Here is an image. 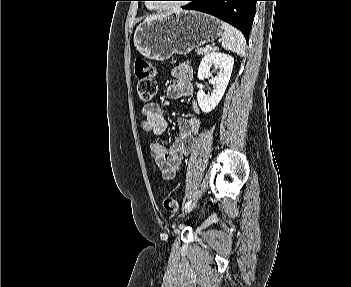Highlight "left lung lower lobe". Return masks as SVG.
<instances>
[{
  "label": "left lung lower lobe",
  "instance_id": "obj_1",
  "mask_svg": "<svg viewBox=\"0 0 351 287\" xmlns=\"http://www.w3.org/2000/svg\"><path fill=\"white\" fill-rule=\"evenodd\" d=\"M183 9L196 10L213 15L237 27L249 39L258 0H189Z\"/></svg>",
  "mask_w": 351,
  "mask_h": 287
}]
</instances>
